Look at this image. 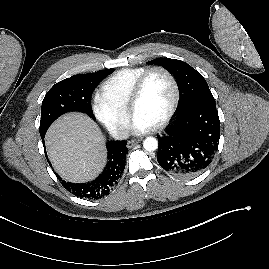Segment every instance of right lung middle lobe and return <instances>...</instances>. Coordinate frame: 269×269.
<instances>
[{"label": "right lung middle lobe", "mask_w": 269, "mask_h": 269, "mask_svg": "<svg viewBox=\"0 0 269 269\" xmlns=\"http://www.w3.org/2000/svg\"><path fill=\"white\" fill-rule=\"evenodd\" d=\"M113 69L95 73L74 75L56 83L46 94L41 107V138L55 119L70 111L86 113L94 119L91 111V95L102 79Z\"/></svg>", "instance_id": "dd1d6c3e"}]
</instances>
